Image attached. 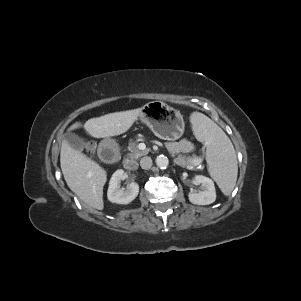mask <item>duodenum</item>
I'll return each mask as SVG.
<instances>
[{
  "label": "duodenum",
  "mask_w": 301,
  "mask_h": 301,
  "mask_svg": "<svg viewBox=\"0 0 301 301\" xmlns=\"http://www.w3.org/2000/svg\"><path fill=\"white\" fill-rule=\"evenodd\" d=\"M96 155L101 163L115 167L121 163L123 150L111 140L105 139L99 143ZM123 165L128 171H133L137 168V163L129 158L124 160Z\"/></svg>",
  "instance_id": "duodenum-1"
}]
</instances>
